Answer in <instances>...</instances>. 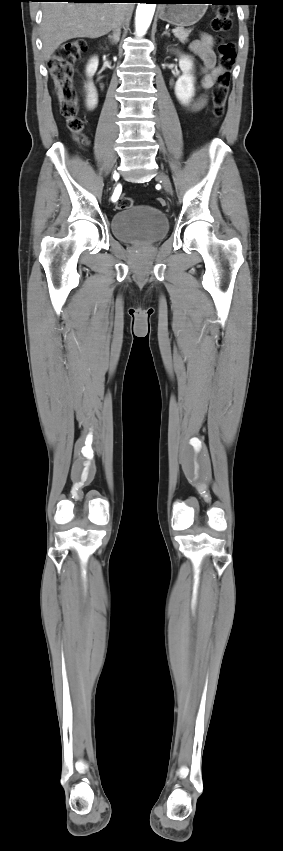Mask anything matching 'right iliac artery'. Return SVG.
<instances>
[{"mask_svg": "<svg viewBox=\"0 0 283 851\" xmlns=\"http://www.w3.org/2000/svg\"><path fill=\"white\" fill-rule=\"evenodd\" d=\"M122 188H123V187H122L121 185H118V188L115 190V192H114V194H113V196H112V200H113V201L117 200L118 196H121V195L123 194V193L121 192V189H122Z\"/></svg>", "mask_w": 283, "mask_h": 851, "instance_id": "right-iliac-artery-1", "label": "right iliac artery"}]
</instances>
